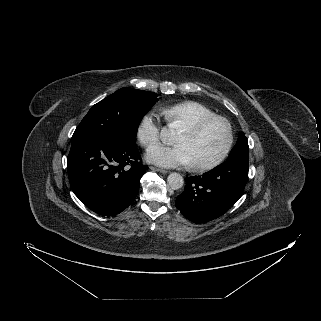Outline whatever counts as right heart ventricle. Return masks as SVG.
I'll use <instances>...</instances> for the list:
<instances>
[{"label":"right heart ventricle","instance_id":"1","mask_svg":"<svg viewBox=\"0 0 321 321\" xmlns=\"http://www.w3.org/2000/svg\"><path fill=\"white\" fill-rule=\"evenodd\" d=\"M169 124L188 126L199 119L215 115L214 111L197 101H184L161 109Z\"/></svg>","mask_w":321,"mask_h":321}]
</instances>
